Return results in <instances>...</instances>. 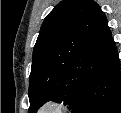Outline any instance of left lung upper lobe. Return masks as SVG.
<instances>
[{
	"instance_id": "5c2ea615",
	"label": "left lung upper lobe",
	"mask_w": 121,
	"mask_h": 113,
	"mask_svg": "<svg viewBox=\"0 0 121 113\" xmlns=\"http://www.w3.org/2000/svg\"><path fill=\"white\" fill-rule=\"evenodd\" d=\"M115 47L96 2H60L45 18L33 49L29 112L35 113L50 100L72 109Z\"/></svg>"
}]
</instances>
